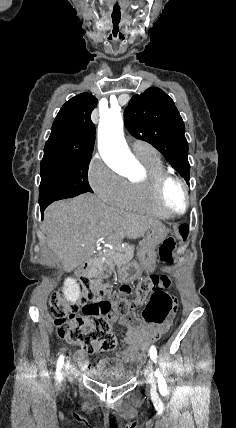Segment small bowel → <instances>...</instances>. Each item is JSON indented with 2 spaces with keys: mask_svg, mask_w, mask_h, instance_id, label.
I'll use <instances>...</instances> for the list:
<instances>
[{
  "mask_svg": "<svg viewBox=\"0 0 236 428\" xmlns=\"http://www.w3.org/2000/svg\"><path fill=\"white\" fill-rule=\"evenodd\" d=\"M121 324L126 328L124 337L126 348L122 352L118 353L116 358L123 359L128 362L142 360L150 343L162 334L169 325L168 323L163 326L143 327L136 316L128 315V309L123 310ZM75 359L82 369L86 371L94 370L92 362L83 350L76 352ZM105 364L106 361H100L101 366H104Z\"/></svg>",
  "mask_w": 236,
  "mask_h": 428,
  "instance_id": "obj_1",
  "label": "small bowel"
}]
</instances>
